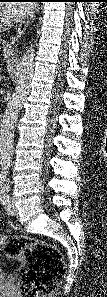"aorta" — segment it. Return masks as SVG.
<instances>
[{
  "label": "aorta",
  "instance_id": "762f6f07",
  "mask_svg": "<svg viewBox=\"0 0 107 297\" xmlns=\"http://www.w3.org/2000/svg\"><path fill=\"white\" fill-rule=\"evenodd\" d=\"M35 49L33 45L25 48L18 66L16 87L7 103L0 128V164L7 167L13 155V138L15 125L18 120L23 102L31 87L34 72Z\"/></svg>",
  "mask_w": 107,
  "mask_h": 297
}]
</instances>
